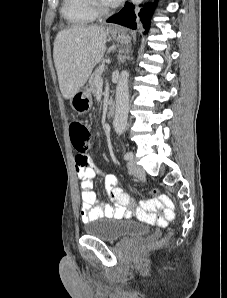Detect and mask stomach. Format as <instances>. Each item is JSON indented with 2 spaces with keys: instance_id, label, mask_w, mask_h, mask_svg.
<instances>
[{
  "instance_id": "stomach-1",
  "label": "stomach",
  "mask_w": 227,
  "mask_h": 298,
  "mask_svg": "<svg viewBox=\"0 0 227 298\" xmlns=\"http://www.w3.org/2000/svg\"><path fill=\"white\" fill-rule=\"evenodd\" d=\"M111 34L116 41L122 44H128L131 41L130 35L124 31L113 30ZM70 105L72 109L80 115L88 113L92 108V96L90 88H81L75 95L71 97Z\"/></svg>"
}]
</instances>
